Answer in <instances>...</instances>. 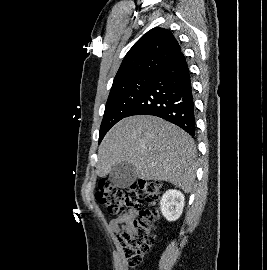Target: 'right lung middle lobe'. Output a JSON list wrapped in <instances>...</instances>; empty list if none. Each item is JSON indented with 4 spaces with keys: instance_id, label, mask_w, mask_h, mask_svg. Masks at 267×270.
I'll return each instance as SVG.
<instances>
[{
    "instance_id": "right-lung-middle-lobe-1",
    "label": "right lung middle lobe",
    "mask_w": 267,
    "mask_h": 270,
    "mask_svg": "<svg viewBox=\"0 0 267 270\" xmlns=\"http://www.w3.org/2000/svg\"><path fill=\"white\" fill-rule=\"evenodd\" d=\"M154 75H141L112 87L100 126L99 143L118 121L125 118L150 86Z\"/></svg>"
}]
</instances>
